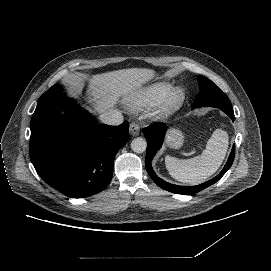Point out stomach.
I'll return each instance as SVG.
<instances>
[{"label": "stomach", "mask_w": 271, "mask_h": 271, "mask_svg": "<svg viewBox=\"0 0 271 271\" xmlns=\"http://www.w3.org/2000/svg\"><path fill=\"white\" fill-rule=\"evenodd\" d=\"M184 143V136L181 131L172 129L166 138V145L170 148L179 149Z\"/></svg>", "instance_id": "stomach-1"}]
</instances>
